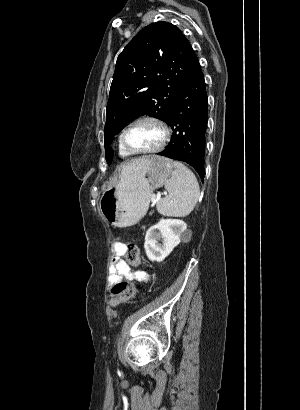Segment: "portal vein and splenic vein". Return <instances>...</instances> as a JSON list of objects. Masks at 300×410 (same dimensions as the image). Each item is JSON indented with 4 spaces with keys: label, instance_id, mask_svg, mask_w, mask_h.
Returning <instances> with one entry per match:
<instances>
[{
    "label": "portal vein and splenic vein",
    "instance_id": "18ae733b",
    "mask_svg": "<svg viewBox=\"0 0 300 410\" xmlns=\"http://www.w3.org/2000/svg\"><path fill=\"white\" fill-rule=\"evenodd\" d=\"M151 200H152V201L158 200L156 194H152V195H151Z\"/></svg>",
    "mask_w": 300,
    "mask_h": 410
}]
</instances>
